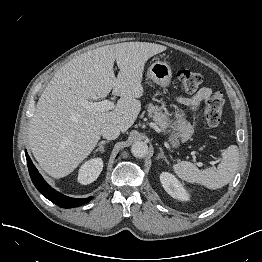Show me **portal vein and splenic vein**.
<instances>
[{"mask_svg": "<svg viewBox=\"0 0 262 262\" xmlns=\"http://www.w3.org/2000/svg\"><path fill=\"white\" fill-rule=\"evenodd\" d=\"M81 105L90 111L105 112L114 108V103L110 100H103L101 102H89L85 99L81 100Z\"/></svg>", "mask_w": 262, "mask_h": 262, "instance_id": "portal-vein-and-splenic-vein-1", "label": "portal vein and splenic vein"}]
</instances>
